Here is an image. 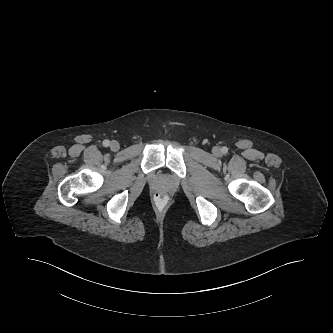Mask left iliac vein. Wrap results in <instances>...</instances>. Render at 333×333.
<instances>
[{
    "mask_svg": "<svg viewBox=\"0 0 333 333\" xmlns=\"http://www.w3.org/2000/svg\"><path fill=\"white\" fill-rule=\"evenodd\" d=\"M213 152H214V154H215L216 156H219L220 153H221V150H220V148L215 147L214 150H213Z\"/></svg>",
    "mask_w": 333,
    "mask_h": 333,
    "instance_id": "1",
    "label": "left iliac vein"
}]
</instances>
